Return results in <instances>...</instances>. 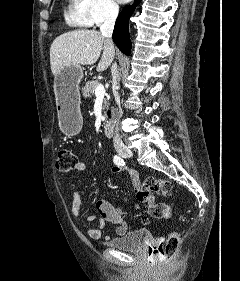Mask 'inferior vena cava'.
Here are the masks:
<instances>
[{"mask_svg":"<svg viewBox=\"0 0 240 281\" xmlns=\"http://www.w3.org/2000/svg\"><path fill=\"white\" fill-rule=\"evenodd\" d=\"M119 13L118 6L112 4L109 6L104 23L100 27V31L102 35L106 38L108 42L112 43V33L115 25L116 18ZM111 74H112V80H113V95L115 98L116 103L119 105V109L113 110V118L114 123L116 124L115 128V136L113 138L114 144H121L122 140L119 135V129H118V121L122 115L121 109H120V97L117 91V81H118V70H117V64L113 63L111 67Z\"/></svg>","mask_w":240,"mask_h":281,"instance_id":"inferior-vena-cava-1","label":"inferior vena cava"}]
</instances>
